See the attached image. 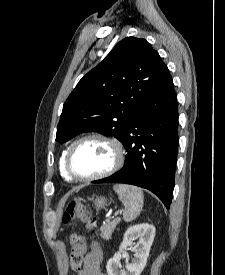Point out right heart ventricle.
<instances>
[{
    "label": "right heart ventricle",
    "mask_w": 225,
    "mask_h": 275,
    "mask_svg": "<svg viewBox=\"0 0 225 275\" xmlns=\"http://www.w3.org/2000/svg\"><path fill=\"white\" fill-rule=\"evenodd\" d=\"M67 150L68 149L66 148L62 153V156H61L60 161H59V170H60L61 176L65 180L70 181V180H72V178L68 175V173L65 169V157H66Z\"/></svg>",
    "instance_id": "obj_1"
}]
</instances>
